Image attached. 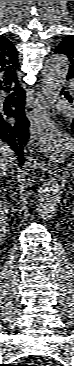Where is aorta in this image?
Returning a JSON list of instances; mask_svg holds the SVG:
<instances>
[{
    "mask_svg": "<svg viewBox=\"0 0 74 366\" xmlns=\"http://www.w3.org/2000/svg\"><path fill=\"white\" fill-rule=\"evenodd\" d=\"M70 66L69 58L61 53L53 54L43 72V91L47 99L59 98ZM60 201V184L56 175L47 176L39 186L37 210L43 220L51 218Z\"/></svg>",
    "mask_w": 74,
    "mask_h": 366,
    "instance_id": "762f6f07",
    "label": "aorta"
}]
</instances>
